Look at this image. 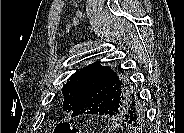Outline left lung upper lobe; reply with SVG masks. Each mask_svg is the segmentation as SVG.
I'll return each mask as SVG.
<instances>
[{
	"mask_svg": "<svg viewBox=\"0 0 184 133\" xmlns=\"http://www.w3.org/2000/svg\"><path fill=\"white\" fill-rule=\"evenodd\" d=\"M99 67V62L90 64L80 70H77L70 80L63 86L62 93L64 95L63 110L71 111L89 94L94 81L95 73ZM121 78L128 82L126 75L120 69H114ZM135 87V86H134ZM131 93V92H129ZM95 96V95H94ZM92 99V96L91 98ZM133 112L137 116V123L141 125L145 119L144 104L140 97L137 98L136 103L132 107Z\"/></svg>",
	"mask_w": 184,
	"mask_h": 133,
	"instance_id": "5c2ea615",
	"label": "left lung upper lobe"
}]
</instances>
